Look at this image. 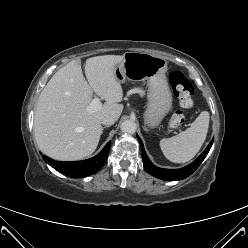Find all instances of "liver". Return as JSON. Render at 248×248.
<instances>
[{
	"instance_id": "obj_1",
	"label": "liver",
	"mask_w": 248,
	"mask_h": 248,
	"mask_svg": "<svg viewBox=\"0 0 248 248\" xmlns=\"http://www.w3.org/2000/svg\"><path fill=\"white\" fill-rule=\"evenodd\" d=\"M124 55L75 59L57 71L42 90L35 110L34 134L40 150L59 161L81 160L96 149L102 134L101 119L118 120L123 105V89L114 67ZM93 92L106 102L89 110Z\"/></svg>"
}]
</instances>
